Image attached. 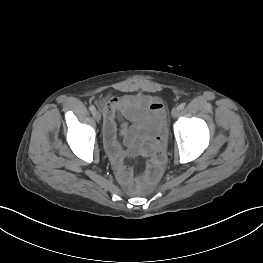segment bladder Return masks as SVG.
Wrapping results in <instances>:
<instances>
[{"instance_id":"1","label":"bladder","mask_w":263,"mask_h":263,"mask_svg":"<svg viewBox=\"0 0 263 263\" xmlns=\"http://www.w3.org/2000/svg\"><path fill=\"white\" fill-rule=\"evenodd\" d=\"M130 112L134 116V121L138 125L140 135L146 134L155 123V118L146 103H136L131 105Z\"/></svg>"}]
</instances>
